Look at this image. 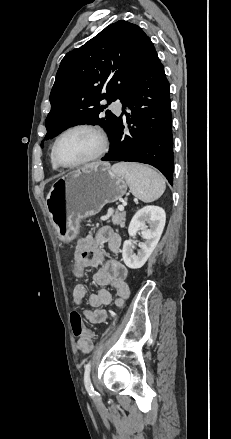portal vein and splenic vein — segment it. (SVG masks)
I'll use <instances>...</instances> for the list:
<instances>
[{"mask_svg":"<svg viewBox=\"0 0 231 439\" xmlns=\"http://www.w3.org/2000/svg\"><path fill=\"white\" fill-rule=\"evenodd\" d=\"M125 205H126V202H123V205L118 206L119 211H124Z\"/></svg>","mask_w":231,"mask_h":439,"instance_id":"1","label":"portal vein and splenic vein"}]
</instances>
